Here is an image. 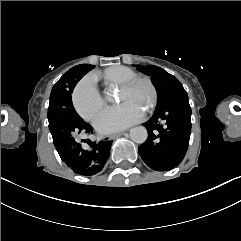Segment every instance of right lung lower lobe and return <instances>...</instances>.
<instances>
[{"instance_id":"1","label":"right lung lower lobe","mask_w":241,"mask_h":241,"mask_svg":"<svg viewBox=\"0 0 241 241\" xmlns=\"http://www.w3.org/2000/svg\"><path fill=\"white\" fill-rule=\"evenodd\" d=\"M93 66L89 64L79 65V69L74 74L71 87H75L78 81ZM93 131L92 126L81 121L70 127H65L57 136L54 142L60 158L75 173L85 176L95 175L99 173L105 166L109 154L112 141H101L99 143L88 140L89 149H83L82 145L75 140L74 135L82 133H90Z\"/></svg>"}]
</instances>
